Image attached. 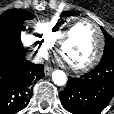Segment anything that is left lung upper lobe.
<instances>
[{
	"label": "left lung upper lobe",
	"mask_w": 114,
	"mask_h": 114,
	"mask_svg": "<svg viewBox=\"0 0 114 114\" xmlns=\"http://www.w3.org/2000/svg\"><path fill=\"white\" fill-rule=\"evenodd\" d=\"M105 36V48L101 61L114 60V38L111 37L103 28H101Z\"/></svg>",
	"instance_id": "1"
}]
</instances>
